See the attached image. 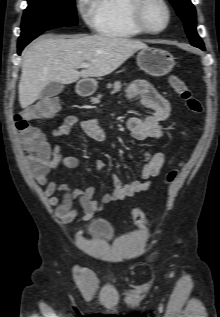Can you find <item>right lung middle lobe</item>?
I'll return each mask as SVG.
<instances>
[{
  "mask_svg": "<svg viewBox=\"0 0 220 317\" xmlns=\"http://www.w3.org/2000/svg\"><path fill=\"white\" fill-rule=\"evenodd\" d=\"M75 0H28L25 9L21 36L25 41L44 31L77 25Z\"/></svg>",
  "mask_w": 220,
  "mask_h": 317,
  "instance_id": "1",
  "label": "right lung middle lobe"
}]
</instances>
